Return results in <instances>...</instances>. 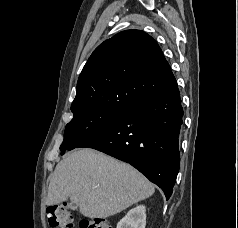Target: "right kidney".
I'll return each mask as SVG.
<instances>
[{"mask_svg":"<svg viewBox=\"0 0 238 228\" xmlns=\"http://www.w3.org/2000/svg\"><path fill=\"white\" fill-rule=\"evenodd\" d=\"M146 208L144 205L131 209L117 224V228H145Z\"/></svg>","mask_w":238,"mask_h":228,"instance_id":"right-kidney-1","label":"right kidney"}]
</instances>
